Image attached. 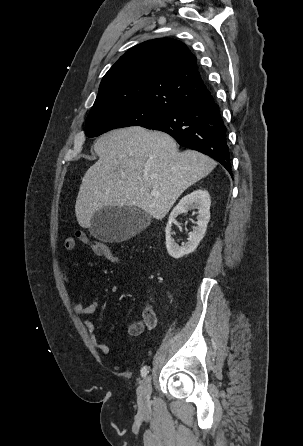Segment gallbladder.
<instances>
[{"label": "gallbladder", "mask_w": 303, "mask_h": 446, "mask_svg": "<svg viewBox=\"0 0 303 446\" xmlns=\"http://www.w3.org/2000/svg\"><path fill=\"white\" fill-rule=\"evenodd\" d=\"M149 224V216L130 207H105L91 219L90 233L105 242H120L136 235Z\"/></svg>", "instance_id": "gallbladder-1"}]
</instances>
